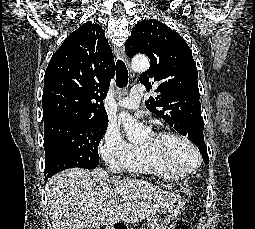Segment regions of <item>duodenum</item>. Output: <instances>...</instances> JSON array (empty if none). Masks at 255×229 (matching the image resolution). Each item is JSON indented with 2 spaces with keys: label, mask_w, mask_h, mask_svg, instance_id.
<instances>
[{
  "label": "duodenum",
  "mask_w": 255,
  "mask_h": 229,
  "mask_svg": "<svg viewBox=\"0 0 255 229\" xmlns=\"http://www.w3.org/2000/svg\"><path fill=\"white\" fill-rule=\"evenodd\" d=\"M107 229H127V226L124 223L115 222L108 225Z\"/></svg>",
  "instance_id": "1"
}]
</instances>
